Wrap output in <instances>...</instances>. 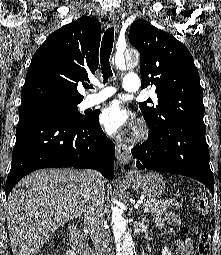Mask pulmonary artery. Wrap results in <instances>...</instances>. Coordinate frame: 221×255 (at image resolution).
I'll return each mask as SVG.
<instances>
[{
  "label": "pulmonary artery",
  "mask_w": 221,
  "mask_h": 255,
  "mask_svg": "<svg viewBox=\"0 0 221 255\" xmlns=\"http://www.w3.org/2000/svg\"><path fill=\"white\" fill-rule=\"evenodd\" d=\"M139 84V76L134 73H128L124 77L122 86L123 89L126 91L136 92L139 89ZM97 86L100 88V90L95 94L89 95L85 100V105L87 107L101 103L115 93V89H113L112 87H108L100 83L97 84Z\"/></svg>",
  "instance_id": "pulmonary-artery-1"
}]
</instances>
